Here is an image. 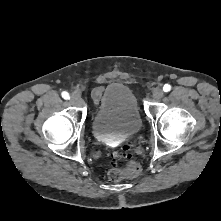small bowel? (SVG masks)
<instances>
[{"instance_id": "small-bowel-1", "label": "small bowel", "mask_w": 221, "mask_h": 221, "mask_svg": "<svg viewBox=\"0 0 221 221\" xmlns=\"http://www.w3.org/2000/svg\"><path fill=\"white\" fill-rule=\"evenodd\" d=\"M102 92H103V87L99 86V87H96L93 92H92V97H93V100L94 102H98L101 95H102Z\"/></svg>"}]
</instances>
